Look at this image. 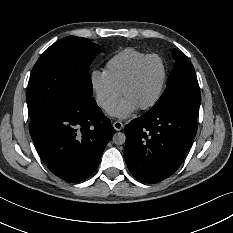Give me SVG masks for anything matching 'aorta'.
I'll return each mask as SVG.
<instances>
[{
    "label": "aorta",
    "mask_w": 233,
    "mask_h": 233,
    "mask_svg": "<svg viewBox=\"0 0 233 233\" xmlns=\"http://www.w3.org/2000/svg\"><path fill=\"white\" fill-rule=\"evenodd\" d=\"M112 140L116 145H122L125 143L126 136L124 133L118 132L113 135Z\"/></svg>",
    "instance_id": "762f6f07"
}]
</instances>
